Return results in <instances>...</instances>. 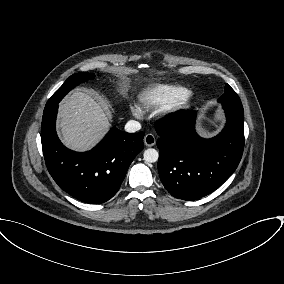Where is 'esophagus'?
Masks as SVG:
<instances>
[{
  "mask_svg": "<svg viewBox=\"0 0 284 284\" xmlns=\"http://www.w3.org/2000/svg\"><path fill=\"white\" fill-rule=\"evenodd\" d=\"M156 143V139H155V136L151 133H148L145 135L144 137V144L148 147H152L154 146Z\"/></svg>",
  "mask_w": 284,
  "mask_h": 284,
  "instance_id": "obj_1",
  "label": "esophagus"
}]
</instances>
